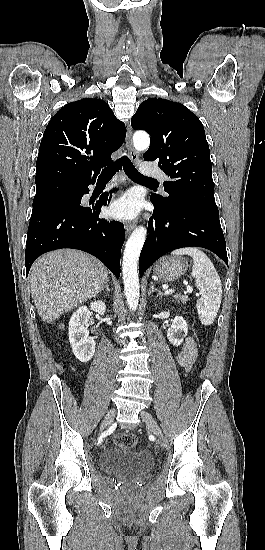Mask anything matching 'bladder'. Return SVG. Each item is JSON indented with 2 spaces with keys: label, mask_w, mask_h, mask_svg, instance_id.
<instances>
[{
  "label": "bladder",
  "mask_w": 265,
  "mask_h": 550,
  "mask_svg": "<svg viewBox=\"0 0 265 550\" xmlns=\"http://www.w3.org/2000/svg\"><path fill=\"white\" fill-rule=\"evenodd\" d=\"M100 469L112 475L142 477L153 467V458L147 450L116 446L105 449L99 459Z\"/></svg>",
  "instance_id": "bladder-1"
}]
</instances>
